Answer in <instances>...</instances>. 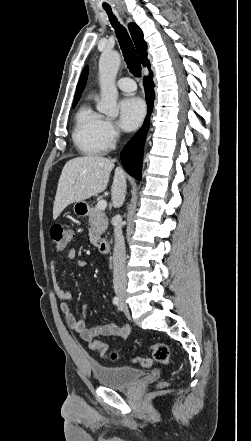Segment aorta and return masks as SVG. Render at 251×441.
<instances>
[{"label": "aorta", "mask_w": 251, "mask_h": 441, "mask_svg": "<svg viewBox=\"0 0 251 441\" xmlns=\"http://www.w3.org/2000/svg\"><path fill=\"white\" fill-rule=\"evenodd\" d=\"M120 62V55L116 51L103 53L99 59L101 100L97 105V110L108 117H116L119 113L118 90L115 81Z\"/></svg>", "instance_id": "762f6f07"}]
</instances>
